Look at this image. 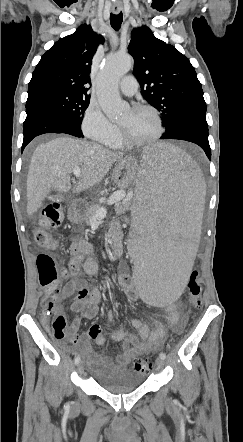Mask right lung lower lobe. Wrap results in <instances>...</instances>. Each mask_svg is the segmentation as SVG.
<instances>
[{"label":"right lung lower lobe","mask_w":243,"mask_h":442,"mask_svg":"<svg viewBox=\"0 0 243 442\" xmlns=\"http://www.w3.org/2000/svg\"><path fill=\"white\" fill-rule=\"evenodd\" d=\"M27 117L23 123L24 139L22 150L36 136L45 133H66L83 137L81 128L77 127L60 111L47 105L26 107Z\"/></svg>","instance_id":"obj_1"}]
</instances>
